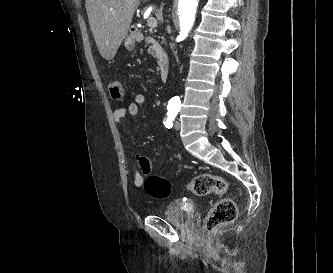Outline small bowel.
<instances>
[{
    "mask_svg": "<svg viewBox=\"0 0 333 273\" xmlns=\"http://www.w3.org/2000/svg\"><path fill=\"white\" fill-rule=\"evenodd\" d=\"M147 101V97L143 93L136 94L133 101L128 106H118L113 111V120L115 124L120 125L122 120L128 117L130 120H133L139 110L140 107L143 106ZM138 157V162H139ZM133 183L136 187H142L144 185V174L142 171L135 170L133 173Z\"/></svg>",
    "mask_w": 333,
    "mask_h": 273,
    "instance_id": "1",
    "label": "small bowel"
}]
</instances>
